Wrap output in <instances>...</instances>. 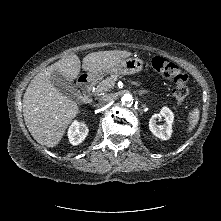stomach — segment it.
Here are the masks:
<instances>
[{
  "label": "stomach",
  "mask_w": 221,
  "mask_h": 221,
  "mask_svg": "<svg viewBox=\"0 0 221 221\" xmlns=\"http://www.w3.org/2000/svg\"><path fill=\"white\" fill-rule=\"evenodd\" d=\"M144 61L135 57L121 61L115 67L101 72L91 73L95 78H101L105 73L130 75L140 72L143 69Z\"/></svg>",
  "instance_id": "1"
}]
</instances>
